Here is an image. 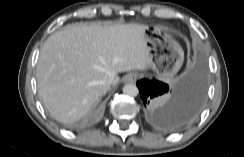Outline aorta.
I'll return each mask as SVG.
<instances>
[{
  "mask_svg": "<svg viewBox=\"0 0 244 157\" xmlns=\"http://www.w3.org/2000/svg\"><path fill=\"white\" fill-rule=\"evenodd\" d=\"M123 93H124L126 96L135 97V96L138 95L139 90H138L137 86L134 85V84H126V85L123 87Z\"/></svg>",
  "mask_w": 244,
  "mask_h": 157,
  "instance_id": "obj_1",
  "label": "aorta"
}]
</instances>
